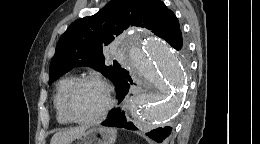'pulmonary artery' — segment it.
<instances>
[{
	"instance_id": "obj_1",
	"label": "pulmonary artery",
	"mask_w": 260,
	"mask_h": 144,
	"mask_svg": "<svg viewBox=\"0 0 260 144\" xmlns=\"http://www.w3.org/2000/svg\"><path fill=\"white\" fill-rule=\"evenodd\" d=\"M114 55H115V57H116L117 59H119V60H121V59L124 58L122 52H120V51H115Z\"/></svg>"
}]
</instances>
